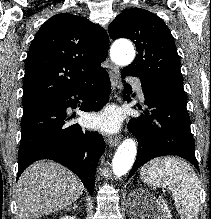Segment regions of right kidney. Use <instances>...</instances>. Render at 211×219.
I'll return each mask as SVG.
<instances>
[{
    "label": "right kidney",
    "mask_w": 211,
    "mask_h": 219,
    "mask_svg": "<svg viewBox=\"0 0 211 219\" xmlns=\"http://www.w3.org/2000/svg\"><path fill=\"white\" fill-rule=\"evenodd\" d=\"M60 219H76L75 216H65V217H62Z\"/></svg>",
    "instance_id": "obj_1"
}]
</instances>
